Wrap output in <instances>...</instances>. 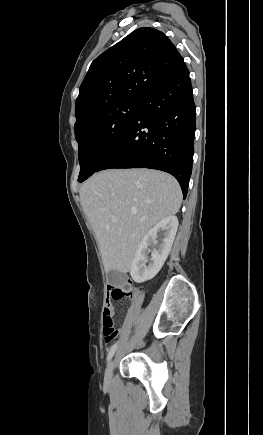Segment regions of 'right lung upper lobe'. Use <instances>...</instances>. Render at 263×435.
I'll return each instance as SVG.
<instances>
[{
	"label": "right lung upper lobe",
	"instance_id": "obj_1",
	"mask_svg": "<svg viewBox=\"0 0 263 435\" xmlns=\"http://www.w3.org/2000/svg\"><path fill=\"white\" fill-rule=\"evenodd\" d=\"M183 65L163 32L149 27L133 31L92 62L76 99L74 128L107 104L143 100Z\"/></svg>",
	"mask_w": 263,
	"mask_h": 435
}]
</instances>
